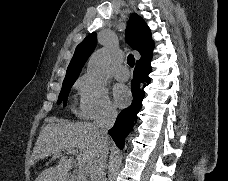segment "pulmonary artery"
I'll return each mask as SVG.
<instances>
[{
    "mask_svg": "<svg viewBox=\"0 0 228 181\" xmlns=\"http://www.w3.org/2000/svg\"><path fill=\"white\" fill-rule=\"evenodd\" d=\"M117 78L118 79H129V74H123V71L120 69L117 71Z\"/></svg>",
    "mask_w": 228,
    "mask_h": 181,
    "instance_id": "e3ab8cb5",
    "label": "pulmonary artery"
}]
</instances>
